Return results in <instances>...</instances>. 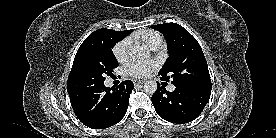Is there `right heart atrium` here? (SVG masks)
I'll return each mask as SVG.
<instances>
[{
	"label": "right heart atrium",
	"mask_w": 276,
	"mask_h": 138,
	"mask_svg": "<svg viewBox=\"0 0 276 138\" xmlns=\"http://www.w3.org/2000/svg\"><path fill=\"white\" fill-rule=\"evenodd\" d=\"M129 43L126 39H123L115 44L113 47V55L119 62H125L128 58Z\"/></svg>",
	"instance_id": "right-heart-atrium-1"
}]
</instances>
